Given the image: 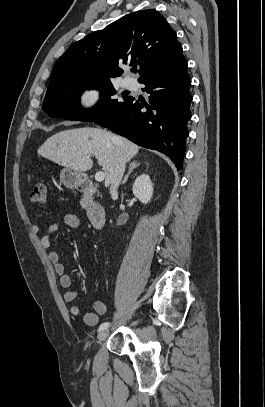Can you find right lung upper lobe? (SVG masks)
I'll list each match as a JSON object with an SVG mask.
<instances>
[{"label": "right lung upper lobe", "instance_id": "1", "mask_svg": "<svg viewBox=\"0 0 265 407\" xmlns=\"http://www.w3.org/2000/svg\"><path fill=\"white\" fill-rule=\"evenodd\" d=\"M176 37L155 10L128 14L73 43L56 62L50 84L110 80L122 74L121 63L139 66L141 81L182 53Z\"/></svg>", "mask_w": 265, "mask_h": 407}]
</instances>
